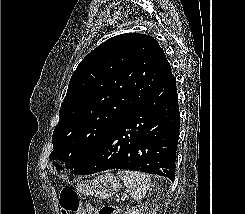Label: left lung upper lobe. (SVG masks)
<instances>
[{"label":"left lung upper lobe","mask_w":245,"mask_h":214,"mask_svg":"<svg viewBox=\"0 0 245 214\" xmlns=\"http://www.w3.org/2000/svg\"><path fill=\"white\" fill-rule=\"evenodd\" d=\"M172 75L150 35L114 36L78 65L59 111L50 160L77 168L84 158L146 96ZM57 171L63 170L54 163Z\"/></svg>","instance_id":"1"}]
</instances>
